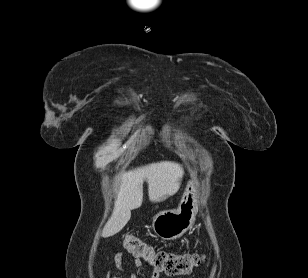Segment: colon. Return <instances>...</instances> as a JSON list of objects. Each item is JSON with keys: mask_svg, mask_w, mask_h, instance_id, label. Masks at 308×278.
Listing matches in <instances>:
<instances>
[{"mask_svg": "<svg viewBox=\"0 0 308 278\" xmlns=\"http://www.w3.org/2000/svg\"><path fill=\"white\" fill-rule=\"evenodd\" d=\"M123 245L131 255L146 261L155 272L170 276L188 274L203 261V257L198 254L155 249L133 235L125 236Z\"/></svg>", "mask_w": 308, "mask_h": 278, "instance_id": "colon-1", "label": "colon"}]
</instances>
